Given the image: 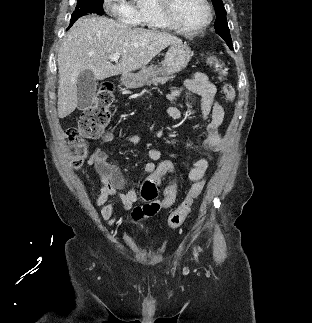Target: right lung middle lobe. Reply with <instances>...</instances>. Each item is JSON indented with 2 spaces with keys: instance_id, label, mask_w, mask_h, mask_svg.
Here are the masks:
<instances>
[{
  "instance_id": "obj_1",
  "label": "right lung middle lobe",
  "mask_w": 312,
  "mask_h": 323,
  "mask_svg": "<svg viewBox=\"0 0 312 323\" xmlns=\"http://www.w3.org/2000/svg\"><path fill=\"white\" fill-rule=\"evenodd\" d=\"M103 0H77L75 11L71 16L70 27L80 17L88 13H96L103 15L104 10L102 6Z\"/></svg>"
}]
</instances>
